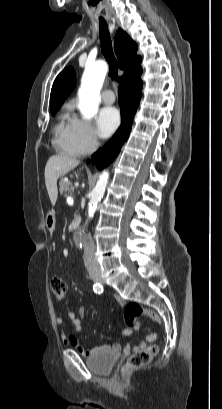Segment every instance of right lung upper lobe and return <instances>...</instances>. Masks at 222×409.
Listing matches in <instances>:
<instances>
[{
    "mask_svg": "<svg viewBox=\"0 0 222 409\" xmlns=\"http://www.w3.org/2000/svg\"><path fill=\"white\" fill-rule=\"evenodd\" d=\"M115 52L119 59V67L124 70L120 83L134 75L142 73L141 58L137 56L136 43L119 29L115 36ZM76 85L73 68H65L55 79L50 99L51 111H57Z\"/></svg>",
    "mask_w": 222,
    "mask_h": 409,
    "instance_id": "obj_1",
    "label": "right lung upper lobe"
}]
</instances>
